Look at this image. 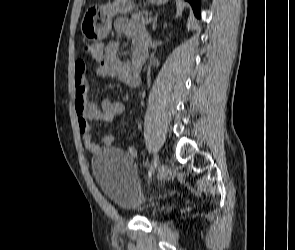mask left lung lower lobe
Segmentation results:
<instances>
[{"label": "left lung lower lobe", "instance_id": "0a47b994", "mask_svg": "<svg viewBox=\"0 0 295 250\" xmlns=\"http://www.w3.org/2000/svg\"><path fill=\"white\" fill-rule=\"evenodd\" d=\"M190 2V4L193 7L194 13L195 15L200 18V13H199V9H200V0H187Z\"/></svg>", "mask_w": 295, "mask_h": 250}]
</instances>
